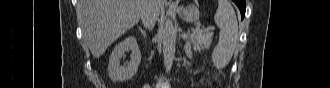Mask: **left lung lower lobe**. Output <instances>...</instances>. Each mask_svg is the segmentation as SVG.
Instances as JSON below:
<instances>
[{
    "label": "left lung lower lobe",
    "instance_id": "left-lung-lower-lobe-1",
    "mask_svg": "<svg viewBox=\"0 0 330 88\" xmlns=\"http://www.w3.org/2000/svg\"><path fill=\"white\" fill-rule=\"evenodd\" d=\"M233 2L236 3V5L239 7L241 11V19L245 17V11H246V6H245V0H232Z\"/></svg>",
    "mask_w": 330,
    "mask_h": 88
}]
</instances>
